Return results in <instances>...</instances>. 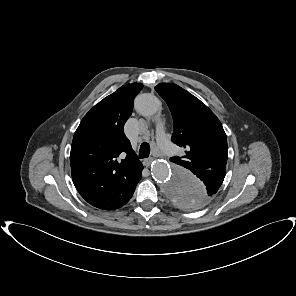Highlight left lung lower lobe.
I'll return each mask as SVG.
<instances>
[{"label":"left lung lower lobe","mask_w":296,"mask_h":296,"mask_svg":"<svg viewBox=\"0 0 296 296\" xmlns=\"http://www.w3.org/2000/svg\"><path fill=\"white\" fill-rule=\"evenodd\" d=\"M206 172H210V171H206ZM226 172V171H225ZM225 172H221L218 174V176H211L210 174H202L201 178L202 180L208 185V191L210 193L215 194L220 185L222 184L224 177H225ZM210 178H213L214 180H211ZM201 201H203V195L197 194V203H200Z\"/></svg>","instance_id":"obj_1"}]
</instances>
